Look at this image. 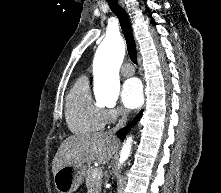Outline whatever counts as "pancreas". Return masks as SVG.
<instances>
[{"instance_id": "pancreas-1", "label": "pancreas", "mask_w": 221, "mask_h": 193, "mask_svg": "<svg viewBox=\"0 0 221 193\" xmlns=\"http://www.w3.org/2000/svg\"><path fill=\"white\" fill-rule=\"evenodd\" d=\"M94 170V167H90L85 174L86 187L88 188V193H100L101 190V175L93 177L92 174Z\"/></svg>"}]
</instances>
